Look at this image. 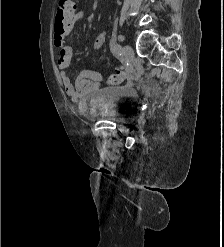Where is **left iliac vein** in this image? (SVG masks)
<instances>
[{"instance_id": "left-iliac-vein-1", "label": "left iliac vein", "mask_w": 224, "mask_h": 247, "mask_svg": "<svg viewBox=\"0 0 224 247\" xmlns=\"http://www.w3.org/2000/svg\"><path fill=\"white\" fill-rule=\"evenodd\" d=\"M123 53L128 61L132 60L134 57V50L130 45H124L123 47Z\"/></svg>"}]
</instances>
